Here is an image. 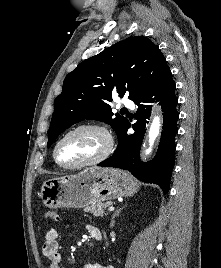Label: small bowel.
Instances as JSON below:
<instances>
[{
  "mask_svg": "<svg viewBox=\"0 0 221 268\" xmlns=\"http://www.w3.org/2000/svg\"><path fill=\"white\" fill-rule=\"evenodd\" d=\"M86 230L92 238L100 231L94 225H87ZM42 253L48 261V268H62L61 266V252L59 243V233L56 229H49L44 236V243L42 246ZM83 268H113L110 265L100 263H88Z\"/></svg>",
  "mask_w": 221,
  "mask_h": 268,
  "instance_id": "c3829d8e",
  "label": "small bowel"
}]
</instances>
